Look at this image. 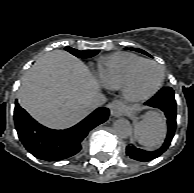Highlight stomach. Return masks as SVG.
I'll use <instances>...</instances> for the list:
<instances>
[{
    "instance_id": "0dacf381",
    "label": "stomach",
    "mask_w": 194,
    "mask_h": 193,
    "mask_svg": "<svg viewBox=\"0 0 194 193\" xmlns=\"http://www.w3.org/2000/svg\"><path fill=\"white\" fill-rule=\"evenodd\" d=\"M138 109L139 108L137 106H133V107L126 108V112L130 115H134L138 111Z\"/></svg>"
}]
</instances>
